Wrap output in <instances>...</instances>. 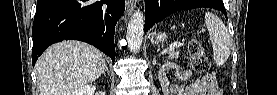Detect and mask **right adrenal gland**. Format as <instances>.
<instances>
[{
    "label": "right adrenal gland",
    "mask_w": 277,
    "mask_h": 95,
    "mask_svg": "<svg viewBox=\"0 0 277 95\" xmlns=\"http://www.w3.org/2000/svg\"><path fill=\"white\" fill-rule=\"evenodd\" d=\"M105 72H107V73H109V70H108V67L106 66V68H105V70H104V74H105Z\"/></svg>",
    "instance_id": "right-adrenal-gland-1"
}]
</instances>
